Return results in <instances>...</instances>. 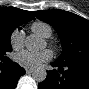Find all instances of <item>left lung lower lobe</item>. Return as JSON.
Listing matches in <instances>:
<instances>
[{
	"label": "left lung lower lobe",
	"instance_id": "left-lung-lower-lobe-1",
	"mask_svg": "<svg viewBox=\"0 0 89 89\" xmlns=\"http://www.w3.org/2000/svg\"><path fill=\"white\" fill-rule=\"evenodd\" d=\"M51 65L58 67V71H47L39 89H89V62L62 65L55 61Z\"/></svg>",
	"mask_w": 89,
	"mask_h": 89
}]
</instances>
